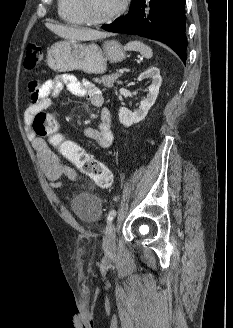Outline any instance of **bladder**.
Returning a JSON list of instances; mask_svg holds the SVG:
<instances>
[{"label":"bladder","mask_w":233,"mask_h":328,"mask_svg":"<svg viewBox=\"0 0 233 328\" xmlns=\"http://www.w3.org/2000/svg\"><path fill=\"white\" fill-rule=\"evenodd\" d=\"M70 207L76 217L84 223H96L101 216V203L97 196L91 193H79L70 201Z\"/></svg>","instance_id":"bladder-1"}]
</instances>
